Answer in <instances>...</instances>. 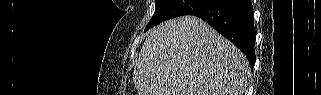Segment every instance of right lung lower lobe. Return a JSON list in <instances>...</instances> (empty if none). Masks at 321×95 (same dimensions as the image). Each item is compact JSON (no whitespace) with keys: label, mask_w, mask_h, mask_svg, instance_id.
<instances>
[{"label":"right lung lower lobe","mask_w":321,"mask_h":95,"mask_svg":"<svg viewBox=\"0 0 321 95\" xmlns=\"http://www.w3.org/2000/svg\"><path fill=\"white\" fill-rule=\"evenodd\" d=\"M191 15L200 17L233 42L246 55L251 68L254 67L255 29L251 0H210Z\"/></svg>","instance_id":"1"}]
</instances>
